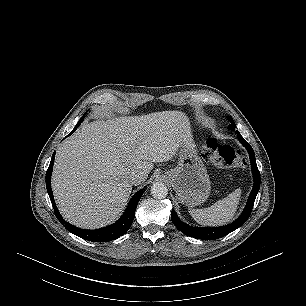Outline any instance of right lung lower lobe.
Segmentation results:
<instances>
[{
	"label": "right lung lower lobe",
	"instance_id": "right-lung-lower-lobe-1",
	"mask_svg": "<svg viewBox=\"0 0 306 306\" xmlns=\"http://www.w3.org/2000/svg\"><path fill=\"white\" fill-rule=\"evenodd\" d=\"M78 127H75L69 135H71ZM68 135V136H69ZM67 136V137H68ZM54 159H55V152L52 155V159L49 165V168L46 173V188L47 192L49 194L52 206L54 208L55 215L57 219L60 221V223L71 233L74 235L83 238L85 240L89 241H94V242H107V241H112L120 236L124 235L130 228L134 216H135V211L137 208V204L143 195L144 191L140 190L137 192L131 199L126 211L122 215V217L116 221L114 224L101 228V229H96V230H84L80 229L78 227H75L68 222H65L59 213L54 198H53V193L51 189V184H50V177L52 174V169H53V164H54Z\"/></svg>",
	"mask_w": 306,
	"mask_h": 306
}]
</instances>
